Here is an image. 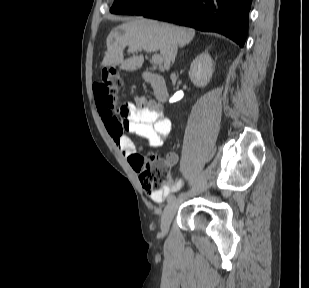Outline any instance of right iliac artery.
Wrapping results in <instances>:
<instances>
[{
	"label": "right iliac artery",
	"mask_w": 309,
	"mask_h": 288,
	"mask_svg": "<svg viewBox=\"0 0 309 288\" xmlns=\"http://www.w3.org/2000/svg\"><path fill=\"white\" fill-rule=\"evenodd\" d=\"M170 197H169V200L171 199V200H174V199H176L177 197L175 196V192H170V195H169Z\"/></svg>",
	"instance_id": "1"
}]
</instances>
